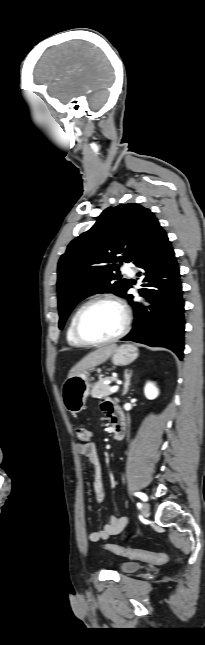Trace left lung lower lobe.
I'll return each mask as SVG.
<instances>
[{
	"label": "left lung lower lobe",
	"instance_id": "0a47b994",
	"mask_svg": "<svg viewBox=\"0 0 205 645\" xmlns=\"http://www.w3.org/2000/svg\"><path fill=\"white\" fill-rule=\"evenodd\" d=\"M132 263L142 269L138 275L144 276L143 285L149 287L140 291L151 303V314L135 313L134 327L122 340L163 346L182 359L185 321L180 271L171 242L158 220L149 225ZM125 297L135 310L139 309L131 294Z\"/></svg>",
	"mask_w": 205,
	"mask_h": 645
}]
</instances>
